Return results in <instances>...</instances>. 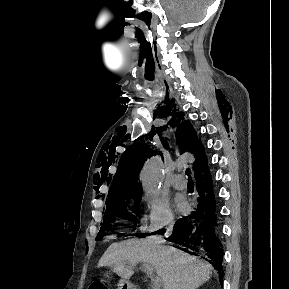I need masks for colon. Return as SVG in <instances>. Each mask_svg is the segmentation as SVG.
<instances>
[{
  "label": "colon",
  "instance_id": "5ec220e1",
  "mask_svg": "<svg viewBox=\"0 0 289 289\" xmlns=\"http://www.w3.org/2000/svg\"><path fill=\"white\" fill-rule=\"evenodd\" d=\"M89 289H109V287L103 281H94Z\"/></svg>",
  "mask_w": 289,
  "mask_h": 289
}]
</instances>
